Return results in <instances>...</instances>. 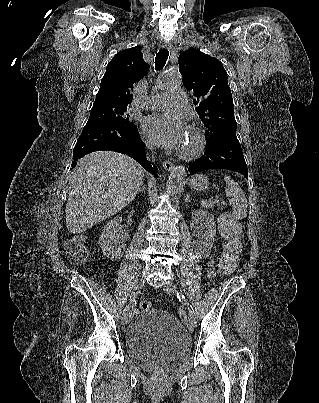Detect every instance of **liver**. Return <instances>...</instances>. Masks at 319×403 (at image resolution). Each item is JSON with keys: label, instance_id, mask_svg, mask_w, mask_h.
<instances>
[{"label": "liver", "instance_id": "1", "mask_svg": "<svg viewBox=\"0 0 319 403\" xmlns=\"http://www.w3.org/2000/svg\"><path fill=\"white\" fill-rule=\"evenodd\" d=\"M144 174L135 160L120 153L101 151L80 159L69 180L65 209L68 231L85 232L126 207Z\"/></svg>", "mask_w": 319, "mask_h": 403}]
</instances>
